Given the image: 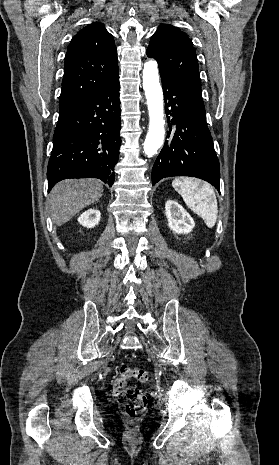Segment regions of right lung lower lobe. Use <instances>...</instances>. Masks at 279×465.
Masks as SVG:
<instances>
[{
  "instance_id": "1",
  "label": "right lung lower lobe",
  "mask_w": 279,
  "mask_h": 465,
  "mask_svg": "<svg viewBox=\"0 0 279 465\" xmlns=\"http://www.w3.org/2000/svg\"><path fill=\"white\" fill-rule=\"evenodd\" d=\"M119 76L59 117L48 163V191L67 178H99L112 186L121 144Z\"/></svg>"
}]
</instances>
